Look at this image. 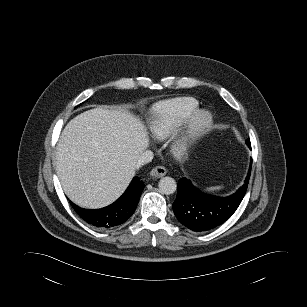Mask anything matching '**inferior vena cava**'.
I'll return each instance as SVG.
<instances>
[{
    "mask_svg": "<svg viewBox=\"0 0 307 307\" xmlns=\"http://www.w3.org/2000/svg\"><path fill=\"white\" fill-rule=\"evenodd\" d=\"M153 157H154V154H153L152 151H150V150L144 151V152L140 155V157H139V159H138V161H137V168H139L141 165H144V164H146V163L151 162L152 159H153Z\"/></svg>",
    "mask_w": 307,
    "mask_h": 307,
    "instance_id": "1",
    "label": "inferior vena cava"
}]
</instances>
